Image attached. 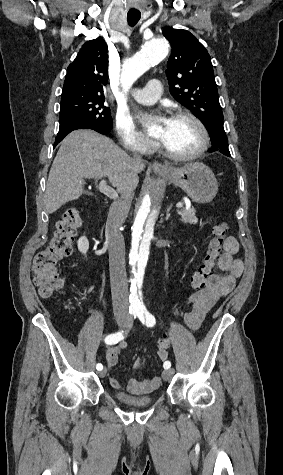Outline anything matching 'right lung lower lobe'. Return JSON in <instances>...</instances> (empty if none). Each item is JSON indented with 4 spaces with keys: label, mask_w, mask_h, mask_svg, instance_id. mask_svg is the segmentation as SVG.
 <instances>
[{
    "label": "right lung lower lobe",
    "mask_w": 283,
    "mask_h": 475,
    "mask_svg": "<svg viewBox=\"0 0 283 475\" xmlns=\"http://www.w3.org/2000/svg\"><path fill=\"white\" fill-rule=\"evenodd\" d=\"M77 129H92L101 134H108L111 129L103 128L101 126H95L89 122L83 120H68L65 122L60 123L59 132L55 139L54 147L64 139L66 135H68L71 131Z\"/></svg>",
    "instance_id": "right-lung-lower-lobe-1"
}]
</instances>
